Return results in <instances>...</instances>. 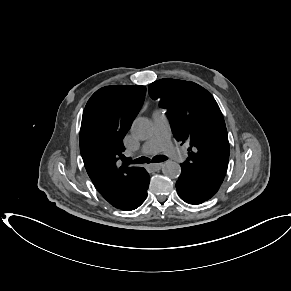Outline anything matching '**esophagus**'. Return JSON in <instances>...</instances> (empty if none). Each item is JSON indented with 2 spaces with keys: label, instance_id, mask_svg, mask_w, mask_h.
<instances>
[{
  "label": "esophagus",
  "instance_id": "esophagus-1",
  "mask_svg": "<svg viewBox=\"0 0 291 291\" xmlns=\"http://www.w3.org/2000/svg\"><path fill=\"white\" fill-rule=\"evenodd\" d=\"M152 171H158L163 167V163L149 164Z\"/></svg>",
  "mask_w": 291,
  "mask_h": 291
}]
</instances>
